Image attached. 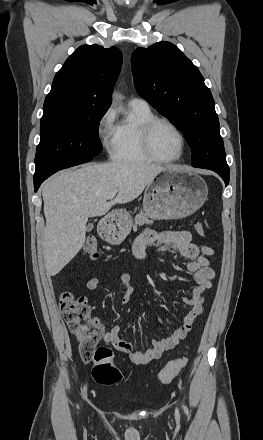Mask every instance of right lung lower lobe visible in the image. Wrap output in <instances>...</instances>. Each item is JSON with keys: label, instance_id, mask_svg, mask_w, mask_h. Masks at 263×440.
I'll return each instance as SVG.
<instances>
[{"label": "right lung lower lobe", "instance_id": "98d812e1", "mask_svg": "<svg viewBox=\"0 0 263 440\" xmlns=\"http://www.w3.org/2000/svg\"><path fill=\"white\" fill-rule=\"evenodd\" d=\"M92 158H93V157H91V156L86 157V159L84 160V163H85V162H89L90 160H92ZM48 177H49V176H45V177H42V178L34 179V188H35V192L38 190V188L40 187L41 183H42L46 178H48Z\"/></svg>", "mask_w": 263, "mask_h": 440}]
</instances>
